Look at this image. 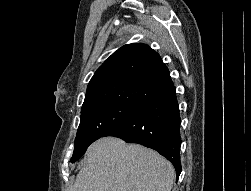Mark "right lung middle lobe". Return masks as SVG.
<instances>
[{
  "mask_svg": "<svg viewBox=\"0 0 251 191\" xmlns=\"http://www.w3.org/2000/svg\"><path fill=\"white\" fill-rule=\"evenodd\" d=\"M140 108L137 105L112 102L82 110L71 162L77 161L91 143L121 125Z\"/></svg>",
  "mask_w": 251,
  "mask_h": 191,
  "instance_id": "obj_1",
  "label": "right lung middle lobe"
}]
</instances>
